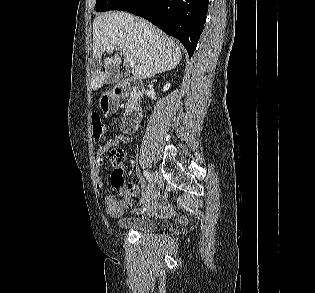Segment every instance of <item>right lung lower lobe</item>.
<instances>
[{
    "label": "right lung lower lobe",
    "instance_id": "1",
    "mask_svg": "<svg viewBox=\"0 0 315 293\" xmlns=\"http://www.w3.org/2000/svg\"><path fill=\"white\" fill-rule=\"evenodd\" d=\"M209 0H121L113 10L132 12L155 24L168 35L176 37L189 57L206 21Z\"/></svg>",
    "mask_w": 315,
    "mask_h": 293
}]
</instances>
